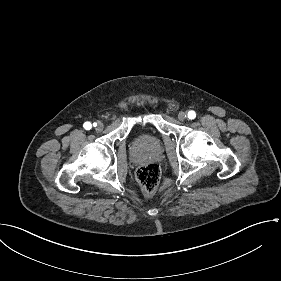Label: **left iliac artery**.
Masks as SVG:
<instances>
[{"label":"left iliac artery","mask_w":281,"mask_h":281,"mask_svg":"<svg viewBox=\"0 0 281 281\" xmlns=\"http://www.w3.org/2000/svg\"><path fill=\"white\" fill-rule=\"evenodd\" d=\"M196 117V113L194 111H189L188 112V118L189 119H194Z\"/></svg>","instance_id":"44dca946"}]
</instances>
